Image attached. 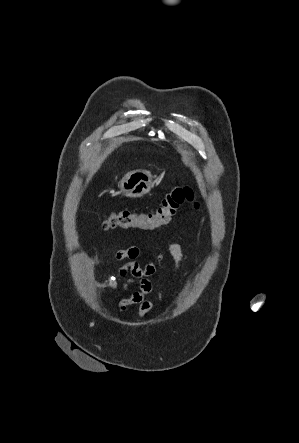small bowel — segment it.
Returning a JSON list of instances; mask_svg holds the SVG:
<instances>
[{
    "label": "small bowel",
    "mask_w": 299,
    "mask_h": 443,
    "mask_svg": "<svg viewBox=\"0 0 299 443\" xmlns=\"http://www.w3.org/2000/svg\"><path fill=\"white\" fill-rule=\"evenodd\" d=\"M179 239L180 237L178 236L174 237L169 243V251L174 259V271L181 270L187 261V255L182 253ZM139 256L140 248L136 245H131L125 249H119L115 253L117 260H127V262L119 268V275L125 277L129 274L131 276L125 281L123 288L127 289L131 284L135 282L138 283V289L136 291L132 292L128 297L120 300L119 308L124 311L129 306L136 305L138 306V316L143 317L155 307L153 301L146 299V296L149 295L154 288L150 277L158 270H164V265L163 255L159 247L155 248L154 259L144 266L140 265L137 261Z\"/></svg>",
    "instance_id": "1"
}]
</instances>
